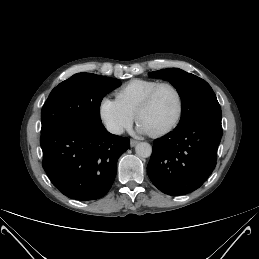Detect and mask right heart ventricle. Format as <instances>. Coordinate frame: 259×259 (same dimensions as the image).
Segmentation results:
<instances>
[{
  "label": "right heart ventricle",
  "instance_id": "1",
  "mask_svg": "<svg viewBox=\"0 0 259 259\" xmlns=\"http://www.w3.org/2000/svg\"><path fill=\"white\" fill-rule=\"evenodd\" d=\"M158 83L153 79H132L116 91L115 98L126 111L135 116L146 94Z\"/></svg>",
  "mask_w": 259,
  "mask_h": 259
}]
</instances>
